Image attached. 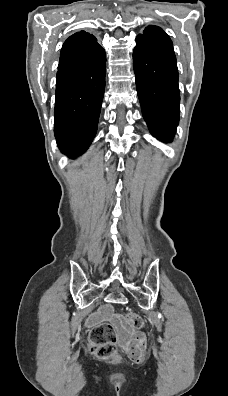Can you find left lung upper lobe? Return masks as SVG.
Returning a JSON list of instances; mask_svg holds the SVG:
<instances>
[{"instance_id":"1","label":"left lung upper lobe","mask_w":228,"mask_h":396,"mask_svg":"<svg viewBox=\"0 0 228 396\" xmlns=\"http://www.w3.org/2000/svg\"><path fill=\"white\" fill-rule=\"evenodd\" d=\"M154 27H156V26H153V25H151V26H148V27H146V28H145V30H144V31L150 30V29H152V28H154Z\"/></svg>"}]
</instances>
